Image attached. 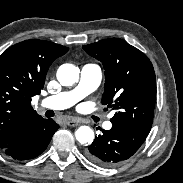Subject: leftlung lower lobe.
<instances>
[{"label": "left lung lower lobe", "instance_id": "1", "mask_svg": "<svg viewBox=\"0 0 183 183\" xmlns=\"http://www.w3.org/2000/svg\"><path fill=\"white\" fill-rule=\"evenodd\" d=\"M110 130L95 138L86 151L94 163L109 167L130 158L146 139V133L125 123H113Z\"/></svg>", "mask_w": 183, "mask_h": 183}]
</instances>
